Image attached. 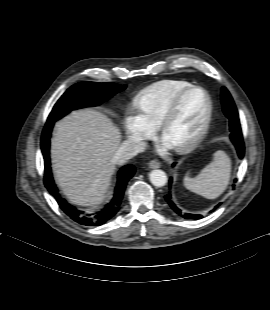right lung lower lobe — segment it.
Segmentation results:
<instances>
[{"instance_id":"98d812e1","label":"right lung lower lobe","mask_w":270,"mask_h":310,"mask_svg":"<svg viewBox=\"0 0 270 310\" xmlns=\"http://www.w3.org/2000/svg\"><path fill=\"white\" fill-rule=\"evenodd\" d=\"M55 121H47L41 137V149L45 162L44 183L51 195H53L59 204L60 208L74 221L86 226H99L110 220L119 210V206L124 194L128 180L134 175L135 167L133 165H126L121 168L118 173V181L115 187V192L112 200L105 205L103 209L93 214H86L78 210L75 206L69 204L63 199L59 190L54 183L49 158V146L52 127Z\"/></svg>"}]
</instances>
